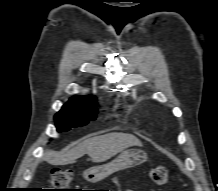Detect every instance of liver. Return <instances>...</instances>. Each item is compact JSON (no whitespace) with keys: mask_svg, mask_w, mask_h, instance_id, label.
<instances>
[{"mask_svg":"<svg viewBox=\"0 0 218 191\" xmlns=\"http://www.w3.org/2000/svg\"><path fill=\"white\" fill-rule=\"evenodd\" d=\"M131 146H142V143L132 134L114 132L86 139L64 154L47 152L45 158L52 165H66L88 154L92 162L99 163Z\"/></svg>","mask_w":218,"mask_h":191,"instance_id":"obj_1","label":"liver"}]
</instances>
